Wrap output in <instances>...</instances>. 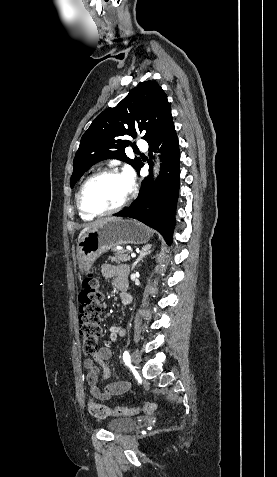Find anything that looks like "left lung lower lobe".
I'll return each mask as SVG.
<instances>
[{
  "mask_svg": "<svg viewBox=\"0 0 277 477\" xmlns=\"http://www.w3.org/2000/svg\"><path fill=\"white\" fill-rule=\"evenodd\" d=\"M149 151L156 152L161 144V170L156 184L152 176L142 181L137 200L115 216L131 217L156 229L168 244L172 242L175 207L179 192L180 153L173 119L149 141ZM143 166L141 163L137 172Z\"/></svg>",
  "mask_w": 277,
  "mask_h": 477,
  "instance_id": "0a47b994",
  "label": "left lung lower lobe"
}]
</instances>
